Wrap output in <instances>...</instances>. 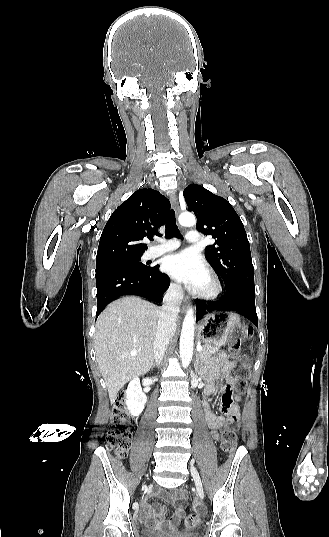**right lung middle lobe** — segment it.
Wrapping results in <instances>:
<instances>
[{"instance_id": "right-lung-middle-lobe-1", "label": "right lung middle lobe", "mask_w": 329, "mask_h": 537, "mask_svg": "<svg viewBox=\"0 0 329 537\" xmlns=\"http://www.w3.org/2000/svg\"><path fill=\"white\" fill-rule=\"evenodd\" d=\"M102 265L119 266V267H131V268H136V269H139V270H147L148 269V265L143 264L141 262V257L110 261V262L104 263ZM98 266H101V265H98Z\"/></svg>"}]
</instances>
